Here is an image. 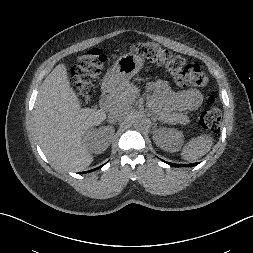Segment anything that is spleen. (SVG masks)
Returning <instances> with one entry per match:
<instances>
[{"instance_id":"obj_1","label":"spleen","mask_w":253,"mask_h":253,"mask_svg":"<svg viewBox=\"0 0 253 253\" xmlns=\"http://www.w3.org/2000/svg\"><path fill=\"white\" fill-rule=\"evenodd\" d=\"M213 144V139L210 136H199L192 139L182 150V158L187 161L196 160L204 156Z\"/></svg>"}]
</instances>
